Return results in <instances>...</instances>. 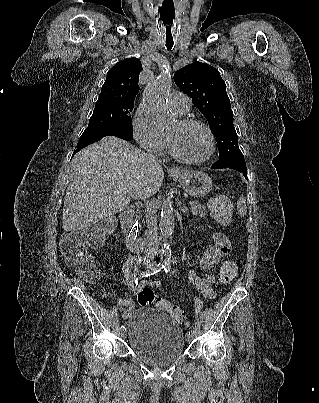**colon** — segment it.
<instances>
[{
  "label": "colon",
  "instance_id": "5ec220e1",
  "mask_svg": "<svg viewBox=\"0 0 319 403\" xmlns=\"http://www.w3.org/2000/svg\"><path fill=\"white\" fill-rule=\"evenodd\" d=\"M209 210L212 216L220 224L226 225L231 220L230 202L225 195H218L209 201ZM114 231V222L111 219L101 224L76 232L64 234L61 242V250L65 262L73 267L76 273L86 281L95 282L99 278L100 267L97 260L87 254V246L98 247L105 236ZM237 274V266L233 262L222 266L219 278L223 283H228ZM138 303L142 307L154 305L158 310L167 312L182 326H188L185 312L181 307L163 298L156 297L150 288H142L137 294Z\"/></svg>",
  "mask_w": 319,
  "mask_h": 403
}]
</instances>
